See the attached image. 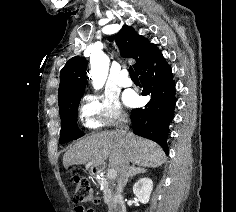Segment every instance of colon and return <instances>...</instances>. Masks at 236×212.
Masks as SVG:
<instances>
[{"label":"colon","mask_w":236,"mask_h":212,"mask_svg":"<svg viewBox=\"0 0 236 212\" xmlns=\"http://www.w3.org/2000/svg\"><path fill=\"white\" fill-rule=\"evenodd\" d=\"M74 199L78 203L93 204L98 199L95 196L89 181L81 176H74Z\"/></svg>","instance_id":"1"}]
</instances>
